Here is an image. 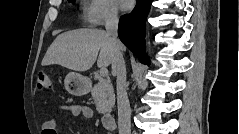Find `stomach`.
<instances>
[{
  "label": "stomach",
  "mask_w": 239,
  "mask_h": 134,
  "mask_svg": "<svg viewBox=\"0 0 239 134\" xmlns=\"http://www.w3.org/2000/svg\"><path fill=\"white\" fill-rule=\"evenodd\" d=\"M64 85L67 91L76 96L85 95L89 91V80L76 72H70L66 75Z\"/></svg>",
  "instance_id": "0dacf381"
}]
</instances>
